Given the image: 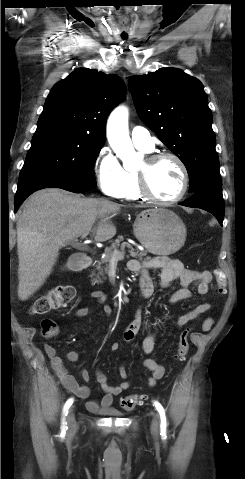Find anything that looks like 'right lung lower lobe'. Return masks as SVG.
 Returning <instances> with one entry per match:
<instances>
[{"label":"right lung lower lobe","mask_w":245,"mask_h":479,"mask_svg":"<svg viewBox=\"0 0 245 479\" xmlns=\"http://www.w3.org/2000/svg\"><path fill=\"white\" fill-rule=\"evenodd\" d=\"M43 188H61L74 193H83L90 191L93 187L55 175H42L28 178L18 182L15 196V212L30 194Z\"/></svg>","instance_id":"98d812e1"}]
</instances>
